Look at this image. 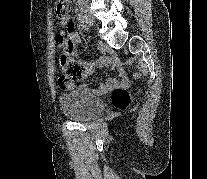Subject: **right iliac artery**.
<instances>
[{
	"instance_id": "1",
	"label": "right iliac artery",
	"mask_w": 207,
	"mask_h": 179,
	"mask_svg": "<svg viewBox=\"0 0 207 179\" xmlns=\"http://www.w3.org/2000/svg\"><path fill=\"white\" fill-rule=\"evenodd\" d=\"M78 22L80 24V26L84 29V30H88V22L85 20L84 16L82 14H78Z\"/></svg>"
}]
</instances>
